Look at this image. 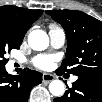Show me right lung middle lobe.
I'll return each instance as SVG.
<instances>
[{"mask_svg":"<svg viewBox=\"0 0 102 102\" xmlns=\"http://www.w3.org/2000/svg\"><path fill=\"white\" fill-rule=\"evenodd\" d=\"M22 41L15 40L6 35L0 34V68H5V64L8 59L4 58V54L9 52L11 49H18Z\"/></svg>","mask_w":102,"mask_h":102,"instance_id":"dd1d6c3e","label":"right lung middle lobe"}]
</instances>
